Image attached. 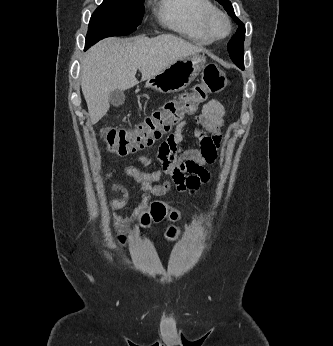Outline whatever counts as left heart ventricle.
<instances>
[{"mask_svg":"<svg viewBox=\"0 0 333 346\" xmlns=\"http://www.w3.org/2000/svg\"><path fill=\"white\" fill-rule=\"evenodd\" d=\"M213 27H214L215 33L218 34V35H222L225 32V30H226V24L220 18H216L214 20Z\"/></svg>","mask_w":333,"mask_h":346,"instance_id":"obj_1","label":"left heart ventricle"}]
</instances>
